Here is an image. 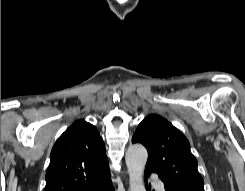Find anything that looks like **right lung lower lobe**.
Returning a JSON list of instances; mask_svg holds the SVG:
<instances>
[{
  "instance_id": "98d812e1",
  "label": "right lung lower lobe",
  "mask_w": 245,
  "mask_h": 191,
  "mask_svg": "<svg viewBox=\"0 0 245 191\" xmlns=\"http://www.w3.org/2000/svg\"><path fill=\"white\" fill-rule=\"evenodd\" d=\"M82 191H114V187L111 178L98 183H93Z\"/></svg>"
}]
</instances>
